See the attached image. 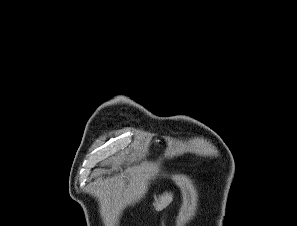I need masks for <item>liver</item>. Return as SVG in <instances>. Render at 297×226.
<instances>
[{"label":"liver","mask_w":297,"mask_h":226,"mask_svg":"<svg viewBox=\"0 0 297 226\" xmlns=\"http://www.w3.org/2000/svg\"><path fill=\"white\" fill-rule=\"evenodd\" d=\"M173 200L172 193H164L159 198H155L154 207L157 211H161L166 208Z\"/></svg>","instance_id":"1"}]
</instances>
